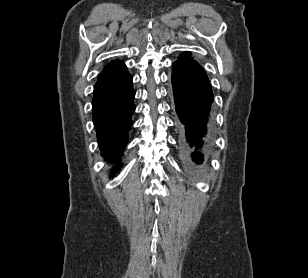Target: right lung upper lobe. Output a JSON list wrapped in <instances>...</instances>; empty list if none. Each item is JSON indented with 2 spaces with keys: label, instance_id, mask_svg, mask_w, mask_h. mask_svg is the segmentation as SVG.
<instances>
[{
  "label": "right lung upper lobe",
  "instance_id": "right-lung-upper-lobe-1",
  "mask_svg": "<svg viewBox=\"0 0 308 278\" xmlns=\"http://www.w3.org/2000/svg\"><path fill=\"white\" fill-rule=\"evenodd\" d=\"M128 75L125 64L119 60H115L104 67L96 85L116 83Z\"/></svg>",
  "mask_w": 308,
  "mask_h": 278
}]
</instances>
